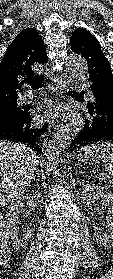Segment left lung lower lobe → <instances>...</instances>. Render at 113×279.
<instances>
[{
	"label": "left lung lower lobe",
	"instance_id": "left-lung-lower-lobe-1",
	"mask_svg": "<svg viewBox=\"0 0 113 279\" xmlns=\"http://www.w3.org/2000/svg\"><path fill=\"white\" fill-rule=\"evenodd\" d=\"M91 91L93 100L87 104L84 129L72 141V148L96 142L113 143V93L97 85H91Z\"/></svg>",
	"mask_w": 113,
	"mask_h": 279
}]
</instances>
